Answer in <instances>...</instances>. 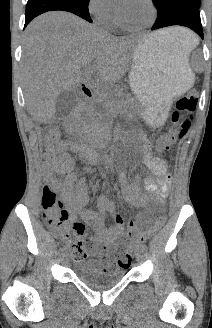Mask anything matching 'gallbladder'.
I'll use <instances>...</instances> for the list:
<instances>
[{"mask_svg": "<svg viewBox=\"0 0 212 328\" xmlns=\"http://www.w3.org/2000/svg\"><path fill=\"white\" fill-rule=\"evenodd\" d=\"M77 103V96L74 92L62 91L56 100V118L64 120L67 118Z\"/></svg>", "mask_w": 212, "mask_h": 328, "instance_id": "gallbladder-1", "label": "gallbladder"}]
</instances>
